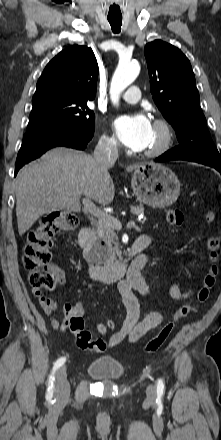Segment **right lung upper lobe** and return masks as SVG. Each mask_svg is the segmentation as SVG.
Returning <instances> with one entry per match:
<instances>
[{
    "instance_id": "right-lung-upper-lobe-1",
    "label": "right lung upper lobe",
    "mask_w": 221,
    "mask_h": 440,
    "mask_svg": "<svg viewBox=\"0 0 221 440\" xmlns=\"http://www.w3.org/2000/svg\"><path fill=\"white\" fill-rule=\"evenodd\" d=\"M97 60L91 48L72 45L45 67L37 82L32 104L86 103L96 95Z\"/></svg>"
}]
</instances>
